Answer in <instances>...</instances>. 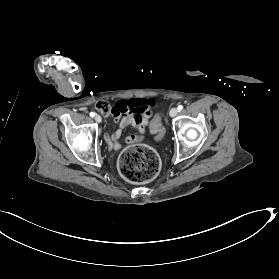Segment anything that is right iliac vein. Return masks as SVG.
<instances>
[{
    "mask_svg": "<svg viewBox=\"0 0 279 279\" xmlns=\"http://www.w3.org/2000/svg\"><path fill=\"white\" fill-rule=\"evenodd\" d=\"M95 120H96V122L100 123L101 120H102V119H101V116L97 114V115L95 116Z\"/></svg>",
    "mask_w": 279,
    "mask_h": 279,
    "instance_id": "obj_1",
    "label": "right iliac vein"
}]
</instances>
